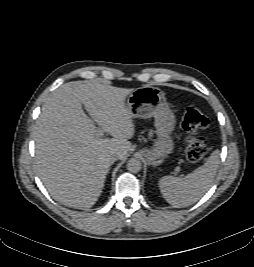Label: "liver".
<instances>
[{
	"mask_svg": "<svg viewBox=\"0 0 254 267\" xmlns=\"http://www.w3.org/2000/svg\"><path fill=\"white\" fill-rule=\"evenodd\" d=\"M133 89L97 81L68 82L44 102L32 131L35 169L51 196L73 208L92 207L117 154L124 160L135 125L125 99ZM113 138L96 137L97 127Z\"/></svg>",
	"mask_w": 254,
	"mask_h": 267,
	"instance_id": "1",
	"label": "liver"
}]
</instances>
